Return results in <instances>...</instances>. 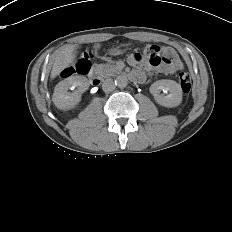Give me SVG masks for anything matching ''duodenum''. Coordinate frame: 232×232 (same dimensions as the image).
<instances>
[{"label":"duodenum","mask_w":232,"mask_h":232,"mask_svg":"<svg viewBox=\"0 0 232 232\" xmlns=\"http://www.w3.org/2000/svg\"><path fill=\"white\" fill-rule=\"evenodd\" d=\"M88 77L90 81L94 84H100L102 81V78L100 74L98 73L96 68H92L88 74Z\"/></svg>","instance_id":"duodenum-1"}]
</instances>
